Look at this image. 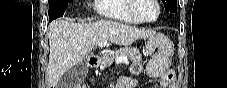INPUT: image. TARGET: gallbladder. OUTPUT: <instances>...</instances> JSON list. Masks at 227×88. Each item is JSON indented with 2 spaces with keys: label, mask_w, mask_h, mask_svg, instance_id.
<instances>
[{
  "label": "gallbladder",
  "mask_w": 227,
  "mask_h": 88,
  "mask_svg": "<svg viewBox=\"0 0 227 88\" xmlns=\"http://www.w3.org/2000/svg\"><path fill=\"white\" fill-rule=\"evenodd\" d=\"M87 75L86 61L82 60L64 73L57 84V88H75L81 84Z\"/></svg>",
  "instance_id": "gallbladder-1"
}]
</instances>
